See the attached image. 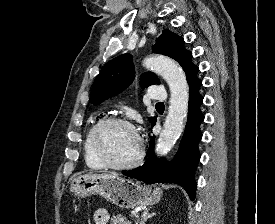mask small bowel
<instances>
[{"label": "small bowel", "instance_id": "small-bowel-1", "mask_svg": "<svg viewBox=\"0 0 275 224\" xmlns=\"http://www.w3.org/2000/svg\"><path fill=\"white\" fill-rule=\"evenodd\" d=\"M95 224H108L109 214L105 209H97L94 213Z\"/></svg>", "mask_w": 275, "mask_h": 224}]
</instances>
